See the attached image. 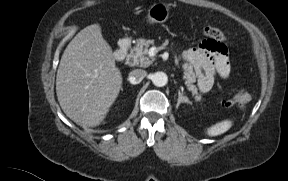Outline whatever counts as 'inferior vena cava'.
I'll return each mask as SVG.
<instances>
[{
  "label": "inferior vena cava",
  "instance_id": "602c4592",
  "mask_svg": "<svg viewBox=\"0 0 288 181\" xmlns=\"http://www.w3.org/2000/svg\"><path fill=\"white\" fill-rule=\"evenodd\" d=\"M147 75L145 70L135 69L129 73V82L132 84L140 83L144 77Z\"/></svg>",
  "mask_w": 288,
  "mask_h": 181
}]
</instances>
